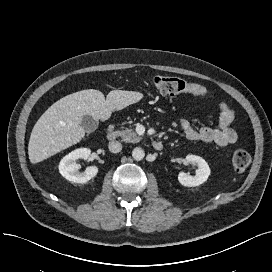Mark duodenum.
<instances>
[{"instance_id": "duodenum-1", "label": "duodenum", "mask_w": 272, "mask_h": 272, "mask_svg": "<svg viewBox=\"0 0 272 272\" xmlns=\"http://www.w3.org/2000/svg\"><path fill=\"white\" fill-rule=\"evenodd\" d=\"M106 137L109 141H114L117 138V131L114 126H110L108 128ZM152 146L157 151H160L163 149V143L161 141H154Z\"/></svg>"}]
</instances>
